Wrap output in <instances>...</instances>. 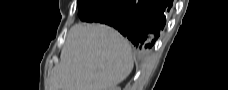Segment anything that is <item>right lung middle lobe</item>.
I'll return each mask as SVG.
<instances>
[{
    "mask_svg": "<svg viewBox=\"0 0 228 90\" xmlns=\"http://www.w3.org/2000/svg\"><path fill=\"white\" fill-rule=\"evenodd\" d=\"M97 2V0H78L77 1V5L79 7V12L78 15L81 18L84 14V8L87 5H95V3Z\"/></svg>",
    "mask_w": 228,
    "mask_h": 90,
    "instance_id": "dd1d6c3e",
    "label": "right lung middle lobe"
}]
</instances>
